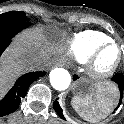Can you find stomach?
<instances>
[{
  "label": "stomach",
  "instance_id": "1",
  "mask_svg": "<svg viewBox=\"0 0 124 124\" xmlns=\"http://www.w3.org/2000/svg\"><path fill=\"white\" fill-rule=\"evenodd\" d=\"M74 95L78 97H89L91 95H95L98 92L106 93L111 98L115 100L116 91L115 88L111 84H102V83H93L86 78H80L74 85ZM90 122H95L93 120H89Z\"/></svg>",
  "mask_w": 124,
  "mask_h": 124
}]
</instances>
